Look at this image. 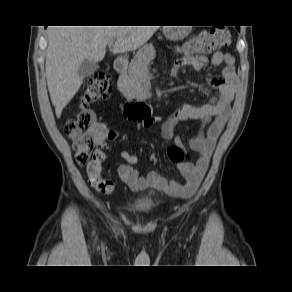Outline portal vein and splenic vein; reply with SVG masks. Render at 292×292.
Segmentation results:
<instances>
[{
	"label": "portal vein and splenic vein",
	"instance_id": "1",
	"mask_svg": "<svg viewBox=\"0 0 292 292\" xmlns=\"http://www.w3.org/2000/svg\"><path fill=\"white\" fill-rule=\"evenodd\" d=\"M108 44H109V46H112L113 42H109Z\"/></svg>",
	"mask_w": 292,
	"mask_h": 292
}]
</instances>
